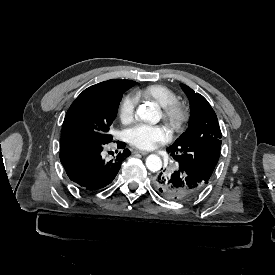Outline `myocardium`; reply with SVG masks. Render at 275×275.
<instances>
[{"label":"myocardium","instance_id":"myocardium-1","mask_svg":"<svg viewBox=\"0 0 275 275\" xmlns=\"http://www.w3.org/2000/svg\"><path fill=\"white\" fill-rule=\"evenodd\" d=\"M162 118L174 131H180L188 122L189 112L183 103L175 100L162 106Z\"/></svg>","mask_w":275,"mask_h":275}]
</instances>
